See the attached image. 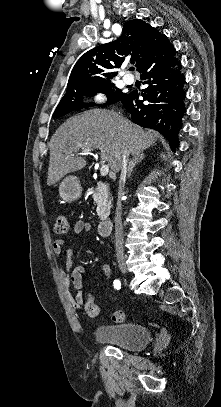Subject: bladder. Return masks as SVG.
<instances>
[{
    "instance_id": "1",
    "label": "bladder",
    "mask_w": 221,
    "mask_h": 407,
    "mask_svg": "<svg viewBox=\"0 0 221 407\" xmlns=\"http://www.w3.org/2000/svg\"><path fill=\"white\" fill-rule=\"evenodd\" d=\"M151 336V329L142 324L103 325L94 331V338L97 341L113 344L128 351L144 349Z\"/></svg>"
}]
</instances>
